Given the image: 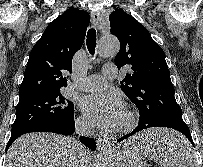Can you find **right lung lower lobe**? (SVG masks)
Segmentation results:
<instances>
[{
  "mask_svg": "<svg viewBox=\"0 0 203 167\" xmlns=\"http://www.w3.org/2000/svg\"><path fill=\"white\" fill-rule=\"evenodd\" d=\"M75 131V122H74V117L67 119L62 122H57V123H51V124H46L42 125L36 128H33L29 131H26L22 134H18L15 136H11L9 142L7 143L6 146V151L10 147V145L14 142L16 138L19 136L29 133V132H53V133H58V134H63V135H71ZM80 142H82L85 146L90 148L91 150L95 151L96 150V143L95 140L89 137H80Z\"/></svg>",
  "mask_w": 203,
  "mask_h": 167,
  "instance_id": "obj_1",
  "label": "right lung lower lobe"
}]
</instances>
